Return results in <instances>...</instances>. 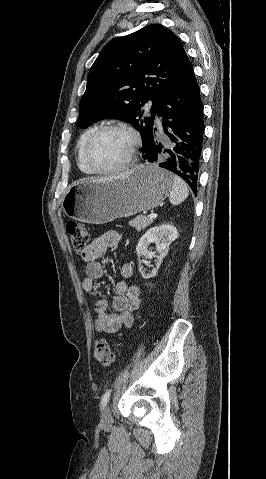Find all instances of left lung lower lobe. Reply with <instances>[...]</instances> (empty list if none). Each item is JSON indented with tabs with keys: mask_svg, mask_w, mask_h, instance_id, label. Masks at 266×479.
<instances>
[{
	"mask_svg": "<svg viewBox=\"0 0 266 479\" xmlns=\"http://www.w3.org/2000/svg\"><path fill=\"white\" fill-rule=\"evenodd\" d=\"M162 128H153L142 157L182 177L197 194L204 134L203 105L192 65L160 103Z\"/></svg>",
	"mask_w": 266,
	"mask_h": 479,
	"instance_id": "obj_1",
	"label": "left lung lower lobe"
}]
</instances>
